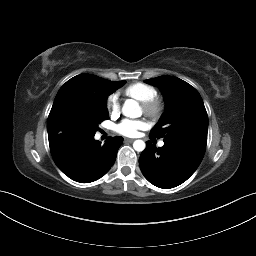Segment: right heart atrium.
Here are the masks:
<instances>
[{
    "label": "right heart atrium",
    "mask_w": 256,
    "mask_h": 256,
    "mask_svg": "<svg viewBox=\"0 0 256 256\" xmlns=\"http://www.w3.org/2000/svg\"><path fill=\"white\" fill-rule=\"evenodd\" d=\"M119 102L115 95H110L106 100V109L108 113L112 116H115L119 112Z\"/></svg>",
    "instance_id": "1"
}]
</instances>
